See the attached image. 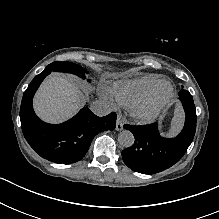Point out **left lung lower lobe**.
Here are the masks:
<instances>
[{
	"label": "left lung lower lobe",
	"instance_id": "1",
	"mask_svg": "<svg viewBox=\"0 0 219 219\" xmlns=\"http://www.w3.org/2000/svg\"><path fill=\"white\" fill-rule=\"evenodd\" d=\"M179 97L185 110V125L174 138H165L158 131V124L143 126L125 124L132 132L134 144L122 151L124 163L133 171L155 174L170 168L186 153L196 131V110L192 95L181 90Z\"/></svg>",
	"mask_w": 219,
	"mask_h": 219
}]
</instances>
